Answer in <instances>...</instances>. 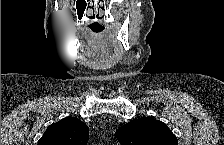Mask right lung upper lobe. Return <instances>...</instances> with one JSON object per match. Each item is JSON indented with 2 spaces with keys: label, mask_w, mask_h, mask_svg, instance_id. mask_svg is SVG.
<instances>
[{
  "label": "right lung upper lobe",
  "mask_w": 224,
  "mask_h": 145,
  "mask_svg": "<svg viewBox=\"0 0 224 145\" xmlns=\"http://www.w3.org/2000/svg\"><path fill=\"white\" fill-rule=\"evenodd\" d=\"M89 129L77 118L67 117L47 127L38 145H86Z\"/></svg>",
  "instance_id": "right-lung-upper-lobe-1"
}]
</instances>
